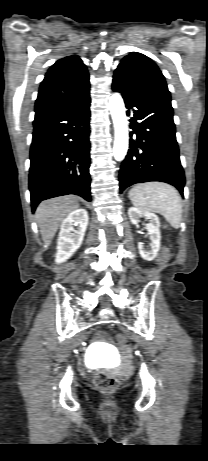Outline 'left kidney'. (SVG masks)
I'll list each match as a JSON object with an SVG mask.
<instances>
[{"instance_id":"obj_1","label":"left kidney","mask_w":208,"mask_h":461,"mask_svg":"<svg viewBox=\"0 0 208 461\" xmlns=\"http://www.w3.org/2000/svg\"><path fill=\"white\" fill-rule=\"evenodd\" d=\"M128 215H129L131 223L134 225L139 223V219L141 217H145L146 220L149 221V223L146 225V229L148 230L150 234L151 249L150 250L145 249L142 242L138 244V249H139V253L141 257L144 260L146 261L153 260L157 256V253L160 249L161 235H160V230H159L160 222H159L158 216L154 213L142 211L135 207L129 208Z\"/></svg>"}]
</instances>
